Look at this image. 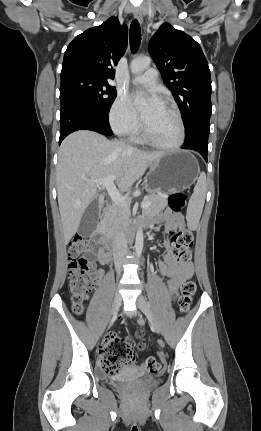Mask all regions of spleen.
Returning a JSON list of instances; mask_svg holds the SVG:
<instances>
[{
	"mask_svg": "<svg viewBox=\"0 0 261 431\" xmlns=\"http://www.w3.org/2000/svg\"><path fill=\"white\" fill-rule=\"evenodd\" d=\"M206 196V174L202 172L189 200V211L199 217L202 213Z\"/></svg>",
	"mask_w": 261,
	"mask_h": 431,
	"instance_id": "obj_1",
	"label": "spleen"
}]
</instances>
